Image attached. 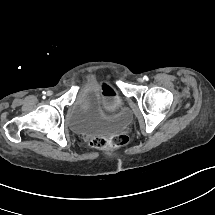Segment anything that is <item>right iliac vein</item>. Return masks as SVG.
I'll return each instance as SVG.
<instances>
[{
  "label": "right iliac vein",
  "instance_id": "obj_1",
  "mask_svg": "<svg viewBox=\"0 0 215 215\" xmlns=\"http://www.w3.org/2000/svg\"><path fill=\"white\" fill-rule=\"evenodd\" d=\"M47 95L51 96L52 95V91H48Z\"/></svg>",
  "mask_w": 215,
  "mask_h": 215
}]
</instances>
